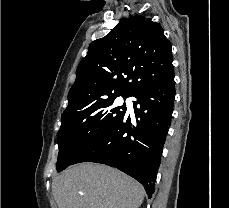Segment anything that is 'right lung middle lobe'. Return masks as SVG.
<instances>
[{
  "label": "right lung middle lobe",
  "instance_id": "right-lung-middle-lobe-1",
  "mask_svg": "<svg viewBox=\"0 0 229 208\" xmlns=\"http://www.w3.org/2000/svg\"><path fill=\"white\" fill-rule=\"evenodd\" d=\"M118 96L96 101L61 118L58 131L59 154L57 171L67 168L93 141L114 127L126 112L125 103L115 107ZM126 99L127 97H123Z\"/></svg>",
  "mask_w": 229,
  "mask_h": 208
}]
</instances>
